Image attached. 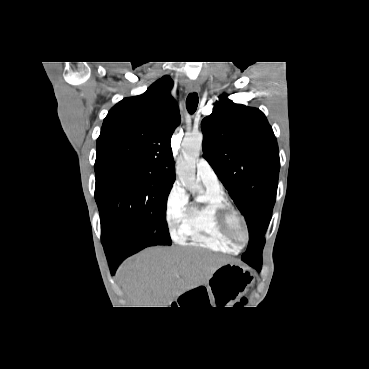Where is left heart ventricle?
Returning <instances> with one entry per match:
<instances>
[{"label":"left heart ventricle","mask_w":369,"mask_h":369,"mask_svg":"<svg viewBox=\"0 0 369 369\" xmlns=\"http://www.w3.org/2000/svg\"><path fill=\"white\" fill-rule=\"evenodd\" d=\"M237 234L239 238H243L242 231L240 229L237 230Z\"/></svg>","instance_id":"b2bd125f"}]
</instances>
